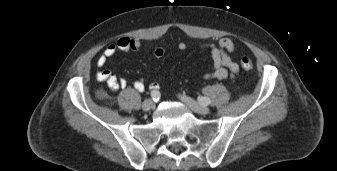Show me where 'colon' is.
I'll return each mask as SVG.
<instances>
[{
    "instance_id": "colon-1",
    "label": "colon",
    "mask_w": 337,
    "mask_h": 171,
    "mask_svg": "<svg viewBox=\"0 0 337 171\" xmlns=\"http://www.w3.org/2000/svg\"><path fill=\"white\" fill-rule=\"evenodd\" d=\"M240 64L243 69L245 70H251L253 68V62L250 58L248 57H242Z\"/></svg>"
}]
</instances>
